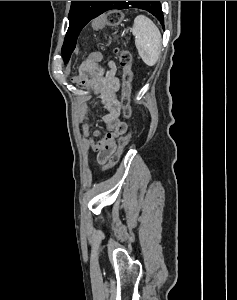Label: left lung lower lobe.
<instances>
[{
	"instance_id": "1",
	"label": "left lung lower lobe",
	"mask_w": 237,
	"mask_h": 300,
	"mask_svg": "<svg viewBox=\"0 0 237 300\" xmlns=\"http://www.w3.org/2000/svg\"><path fill=\"white\" fill-rule=\"evenodd\" d=\"M119 5H120V1H110L103 9V13L108 10H112V9H120ZM160 13H161V15H163L161 6H160Z\"/></svg>"
}]
</instances>
